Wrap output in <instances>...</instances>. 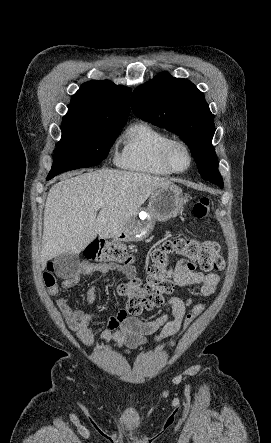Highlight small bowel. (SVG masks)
I'll return each mask as SVG.
<instances>
[{"label": "small bowel", "instance_id": "c3829d8e", "mask_svg": "<svg viewBox=\"0 0 271 443\" xmlns=\"http://www.w3.org/2000/svg\"><path fill=\"white\" fill-rule=\"evenodd\" d=\"M170 277L178 286L199 285L203 295H211L215 292L220 278L217 274H203L187 260H179L170 270ZM95 272L111 273L118 272L128 280L136 277V269L133 266H123L114 262L90 263L84 261L76 272L68 278L62 279L48 288V293L57 295L62 289H70L77 285L84 276ZM96 299V289L90 286L84 298L85 305H91ZM55 304L64 317L66 326L74 331L82 344L91 347L94 344L92 332V320L97 314L86 312L81 307H75L68 303L67 298H56ZM191 300H182L178 297L170 298L162 314L154 320H142L127 311V306L121 308L116 315L109 318L105 330L100 335L104 343H113L118 347L136 349L145 345L147 336L154 335V341L176 334L181 326L186 313V308ZM172 316V318H170Z\"/></svg>", "mask_w": 271, "mask_h": 443}]
</instances>
